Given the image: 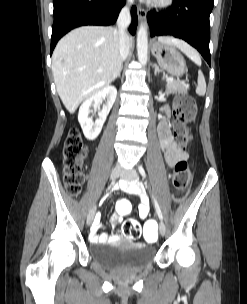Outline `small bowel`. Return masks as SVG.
<instances>
[{
  "label": "small bowel",
  "mask_w": 247,
  "mask_h": 304,
  "mask_svg": "<svg viewBox=\"0 0 247 304\" xmlns=\"http://www.w3.org/2000/svg\"><path fill=\"white\" fill-rule=\"evenodd\" d=\"M158 136L160 141V147L164 153L165 161L169 167L175 166L178 161L186 157V154L181 151L174 139L171 132L169 117L165 116L158 125ZM120 188L123 191L134 194L140 198V205L138 214L141 219H145L150 211V202L146 190L142 184L121 182ZM102 228L100 217H97L92 232L90 234V240L94 243H101L105 241L117 240L120 238V233L116 232L113 235H107L100 233Z\"/></svg>",
  "instance_id": "1"
}]
</instances>
